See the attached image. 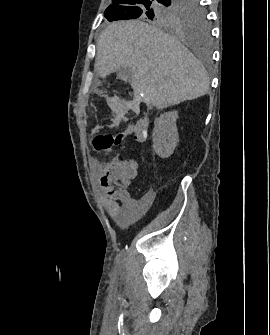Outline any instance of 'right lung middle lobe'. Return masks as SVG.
I'll return each instance as SVG.
<instances>
[{"instance_id":"right-lung-middle-lobe-1","label":"right lung middle lobe","mask_w":270,"mask_h":335,"mask_svg":"<svg viewBox=\"0 0 270 335\" xmlns=\"http://www.w3.org/2000/svg\"><path fill=\"white\" fill-rule=\"evenodd\" d=\"M105 10L108 21L147 20L200 44L209 41L210 27L207 11L199 0H112Z\"/></svg>"}]
</instances>
